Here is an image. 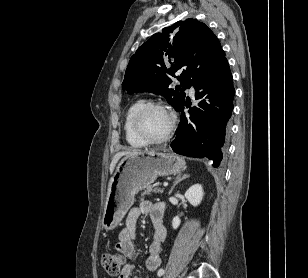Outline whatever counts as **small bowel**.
<instances>
[{"mask_svg": "<svg viewBox=\"0 0 308 278\" xmlns=\"http://www.w3.org/2000/svg\"><path fill=\"white\" fill-rule=\"evenodd\" d=\"M164 210V203H152L150 201H143L138 207H133L129 210L125 220V227L119 233V241L116 244V249L132 261L123 267L118 278H137L132 276V272L139 258V252L134 242L137 239V222L141 215H149L154 227L153 241L149 247V254L145 261L146 268L149 271H155L160 267L161 244L166 238V229L162 222Z\"/></svg>", "mask_w": 308, "mask_h": 278, "instance_id": "c3829d8e", "label": "small bowel"}]
</instances>
